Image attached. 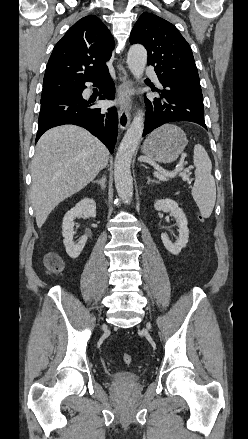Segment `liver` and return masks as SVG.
<instances>
[{"instance_id":"liver-1","label":"liver","mask_w":248,"mask_h":439,"mask_svg":"<svg viewBox=\"0 0 248 439\" xmlns=\"http://www.w3.org/2000/svg\"><path fill=\"white\" fill-rule=\"evenodd\" d=\"M108 157L105 145L81 127L63 125L44 133L31 164L30 197L37 226H43L59 203L93 181Z\"/></svg>"}]
</instances>
